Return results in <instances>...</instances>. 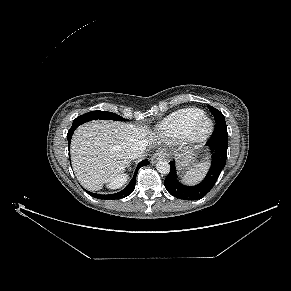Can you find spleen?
<instances>
[{
  "label": "spleen",
  "instance_id": "1",
  "mask_svg": "<svg viewBox=\"0 0 291 291\" xmlns=\"http://www.w3.org/2000/svg\"><path fill=\"white\" fill-rule=\"evenodd\" d=\"M209 166V161H204L195 165L182 176V182L187 185H194L199 183L205 177Z\"/></svg>",
  "mask_w": 291,
  "mask_h": 291
}]
</instances>
